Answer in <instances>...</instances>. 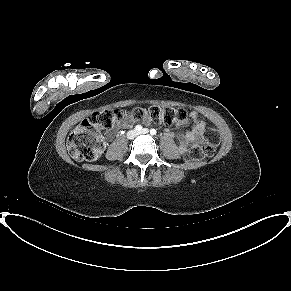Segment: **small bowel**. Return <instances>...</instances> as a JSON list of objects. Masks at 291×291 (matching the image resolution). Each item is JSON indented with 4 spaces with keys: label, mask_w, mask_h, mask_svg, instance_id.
<instances>
[{
    "label": "small bowel",
    "mask_w": 291,
    "mask_h": 291,
    "mask_svg": "<svg viewBox=\"0 0 291 291\" xmlns=\"http://www.w3.org/2000/svg\"><path fill=\"white\" fill-rule=\"evenodd\" d=\"M191 121L193 122V128L180 136L179 146L182 151H184L190 144H199L205 133V123L199 119L197 112L192 111L189 115ZM134 122L133 117L130 114H125V116L119 121V128L130 127Z\"/></svg>",
    "instance_id": "small-bowel-1"
}]
</instances>
